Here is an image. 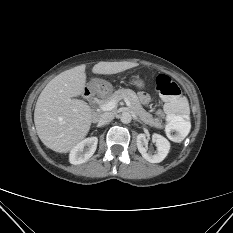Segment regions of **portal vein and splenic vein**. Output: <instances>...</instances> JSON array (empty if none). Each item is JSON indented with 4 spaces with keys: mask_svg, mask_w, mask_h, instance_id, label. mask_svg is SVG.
Here are the masks:
<instances>
[{
    "mask_svg": "<svg viewBox=\"0 0 233 233\" xmlns=\"http://www.w3.org/2000/svg\"><path fill=\"white\" fill-rule=\"evenodd\" d=\"M123 99H124L126 105L128 107H130L131 106L130 101L127 98H123ZM117 103H118V100L112 99L109 102L100 105V109L103 110V111H110V110H112V109H114L116 107Z\"/></svg>",
    "mask_w": 233,
    "mask_h": 233,
    "instance_id": "18ae733b",
    "label": "portal vein and splenic vein"
}]
</instances>
